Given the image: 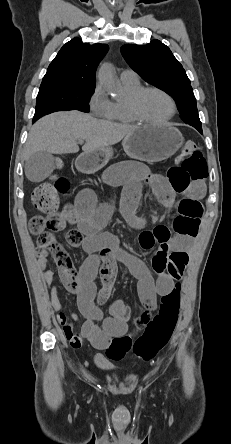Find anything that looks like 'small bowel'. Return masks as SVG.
Returning a JSON list of instances; mask_svg holds the SVG:
<instances>
[{
  "label": "small bowel",
  "mask_w": 231,
  "mask_h": 444,
  "mask_svg": "<svg viewBox=\"0 0 231 444\" xmlns=\"http://www.w3.org/2000/svg\"><path fill=\"white\" fill-rule=\"evenodd\" d=\"M101 177L109 186H123L121 211L130 226L142 230L139 235L140 246L145 250H150L155 245L159 246L152 259L156 279L140 259L120 247L116 236L102 231V227L113 213V205L98 204L92 190H82L75 202L66 207L72 214V223L77 225L76 229L68 233L67 241L71 246L81 247L88 253V258L78 274L77 304L85 319L79 331L73 328L77 316L68 314L58 297L54 272L48 269V255L43 250L37 254L38 266L46 283L51 305L57 312L65 338L74 348H79L86 340L97 349H106L113 338L127 333L132 317L130 306L120 300L116 301L111 305L110 315L107 317L101 309V305L110 296L117 262L126 265L138 280L139 299L150 311L157 308L158 296L163 297L174 289L175 282L181 278L187 266L191 237L178 234L173 237L160 236L155 230L144 229V218L136 215L143 185L148 184L152 194L168 208L173 206L175 194H181L185 199L200 204L199 201L205 193V186L201 181L179 188L162 173H151L145 166L130 161L109 166ZM98 274L102 280V288L99 291L94 283Z\"/></svg>",
  "instance_id": "1"
}]
</instances>
